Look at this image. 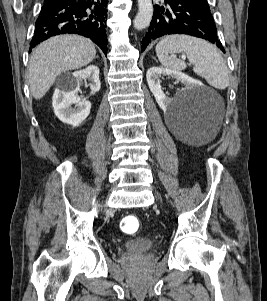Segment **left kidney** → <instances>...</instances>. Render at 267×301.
<instances>
[{
    "label": "left kidney",
    "instance_id": "5707ae66",
    "mask_svg": "<svg viewBox=\"0 0 267 301\" xmlns=\"http://www.w3.org/2000/svg\"><path fill=\"white\" fill-rule=\"evenodd\" d=\"M161 76H171L175 78L177 81L183 83L185 85L183 91H189L193 89L196 85H198L197 80L192 79L191 77H189L188 75L180 71L171 70L163 67H151L150 69H148L146 78H147L149 89L153 93L156 102L158 103L160 108L164 111L170 108V106L173 103V99L167 97L162 91L160 85Z\"/></svg>",
    "mask_w": 267,
    "mask_h": 301
}]
</instances>
